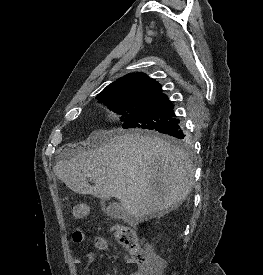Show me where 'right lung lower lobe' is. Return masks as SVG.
Here are the masks:
<instances>
[{
  "label": "right lung lower lobe",
  "mask_w": 263,
  "mask_h": 275,
  "mask_svg": "<svg viewBox=\"0 0 263 275\" xmlns=\"http://www.w3.org/2000/svg\"><path fill=\"white\" fill-rule=\"evenodd\" d=\"M157 132L163 133V134H167L170 136H174L178 139H185V134L181 128L180 122L177 121L174 124L158 129Z\"/></svg>",
  "instance_id": "1"
}]
</instances>
